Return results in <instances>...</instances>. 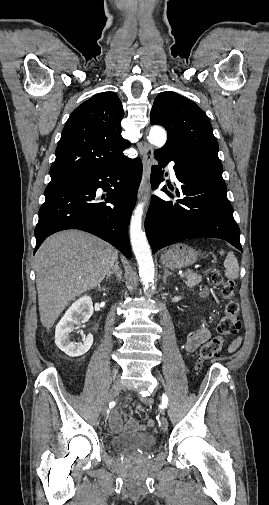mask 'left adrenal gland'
I'll use <instances>...</instances> for the list:
<instances>
[{
  "mask_svg": "<svg viewBox=\"0 0 269 505\" xmlns=\"http://www.w3.org/2000/svg\"><path fill=\"white\" fill-rule=\"evenodd\" d=\"M169 275H172L171 272H169L166 268H164V274H163V282L166 283L167 277Z\"/></svg>",
  "mask_w": 269,
  "mask_h": 505,
  "instance_id": "left-adrenal-gland-1",
  "label": "left adrenal gland"
}]
</instances>
